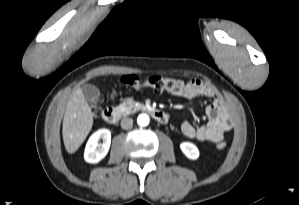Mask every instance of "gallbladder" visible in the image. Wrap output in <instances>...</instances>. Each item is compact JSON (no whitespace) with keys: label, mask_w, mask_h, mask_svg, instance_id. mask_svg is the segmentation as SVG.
<instances>
[{"label":"gallbladder","mask_w":299,"mask_h":205,"mask_svg":"<svg viewBox=\"0 0 299 205\" xmlns=\"http://www.w3.org/2000/svg\"><path fill=\"white\" fill-rule=\"evenodd\" d=\"M81 89L86 100L89 102H95L100 98V91L95 85L86 84Z\"/></svg>","instance_id":"1"}]
</instances>
